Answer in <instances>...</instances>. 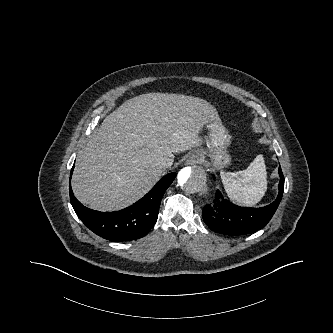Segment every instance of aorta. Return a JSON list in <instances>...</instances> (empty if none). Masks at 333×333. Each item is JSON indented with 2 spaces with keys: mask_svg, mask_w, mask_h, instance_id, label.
Listing matches in <instances>:
<instances>
[{
  "mask_svg": "<svg viewBox=\"0 0 333 333\" xmlns=\"http://www.w3.org/2000/svg\"><path fill=\"white\" fill-rule=\"evenodd\" d=\"M177 184L190 195H203L208 192V179L201 167H185L177 175Z\"/></svg>",
  "mask_w": 333,
  "mask_h": 333,
  "instance_id": "aorta-1",
  "label": "aorta"
}]
</instances>
